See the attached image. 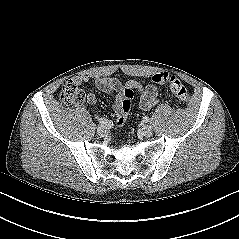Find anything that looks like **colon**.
I'll return each mask as SVG.
<instances>
[{
  "label": "colon",
  "instance_id": "obj_1",
  "mask_svg": "<svg viewBox=\"0 0 239 239\" xmlns=\"http://www.w3.org/2000/svg\"><path fill=\"white\" fill-rule=\"evenodd\" d=\"M152 81L157 84L168 83L172 93L181 101H189V93L187 88L175 76L168 72H159L153 75ZM134 92L131 88H125L123 91V99L120 103V110L117 115L116 124L123 127L126 123L128 113L131 108ZM60 99L63 103L72 105H82L86 96L83 90L74 80L66 81L61 89Z\"/></svg>",
  "mask_w": 239,
  "mask_h": 239
}]
</instances>
